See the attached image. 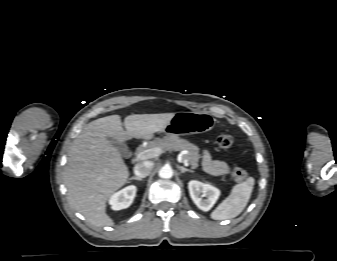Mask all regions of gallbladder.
<instances>
[{"mask_svg": "<svg viewBox=\"0 0 337 261\" xmlns=\"http://www.w3.org/2000/svg\"><path fill=\"white\" fill-rule=\"evenodd\" d=\"M107 139L109 140V142L118 149V151L120 152V154L123 157H128L129 156V149L127 147V145L125 143L122 142H118L117 140L111 138V137H107Z\"/></svg>", "mask_w": 337, "mask_h": 261, "instance_id": "1", "label": "gallbladder"}]
</instances>
